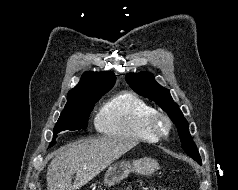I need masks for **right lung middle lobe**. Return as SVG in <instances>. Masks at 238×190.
I'll use <instances>...</instances> for the list:
<instances>
[{
	"instance_id": "1",
	"label": "right lung middle lobe",
	"mask_w": 238,
	"mask_h": 190,
	"mask_svg": "<svg viewBox=\"0 0 238 190\" xmlns=\"http://www.w3.org/2000/svg\"><path fill=\"white\" fill-rule=\"evenodd\" d=\"M105 93L82 97L75 104L66 105L62 111L55 127L53 137L64 130H80L86 129L88 125L89 115L94 104ZM55 139L52 140L50 146L54 145Z\"/></svg>"
}]
</instances>
